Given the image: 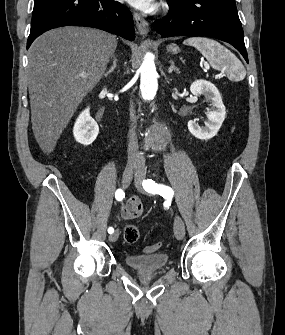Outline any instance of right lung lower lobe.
<instances>
[{
    "instance_id": "98d812e1",
    "label": "right lung lower lobe",
    "mask_w": 285,
    "mask_h": 335,
    "mask_svg": "<svg viewBox=\"0 0 285 335\" xmlns=\"http://www.w3.org/2000/svg\"><path fill=\"white\" fill-rule=\"evenodd\" d=\"M81 25L99 28L133 41L131 12L112 0H34L27 48L42 33L57 27Z\"/></svg>"
}]
</instances>
